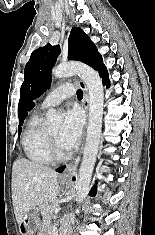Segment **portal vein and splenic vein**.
I'll return each instance as SVG.
<instances>
[{
    "instance_id": "18ae733b",
    "label": "portal vein and splenic vein",
    "mask_w": 155,
    "mask_h": 235,
    "mask_svg": "<svg viewBox=\"0 0 155 235\" xmlns=\"http://www.w3.org/2000/svg\"><path fill=\"white\" fill-rule=\"evenodd\" d=\"M60 205L54 207V213L57 214L60 211Z\"/></svg>"
}]
</instances>
